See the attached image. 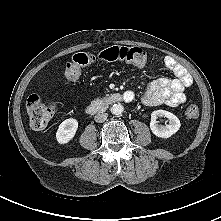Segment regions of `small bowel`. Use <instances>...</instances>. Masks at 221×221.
Instances as JSON below:
<instances>
[{
    "label": "small bowel",
    "mask_w": 221,
    "mask_h": 221,
    "mask_svg": "<svg viewBox=\"0 0 221 221\" xmlns=\"http://www.w3.org/2000/svg\"><path fill=\"white\" fill-rule=\"evenodd\" d=\"M164 64L175 78H159L151 83L142 95V102L147 106H178L186 101L185 89L192 84L191 75L172 57H166Z\"/></svg>",
    "instance_id": "1"
}]
</instances>
